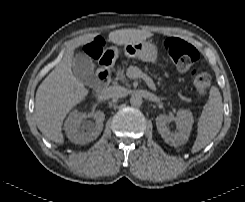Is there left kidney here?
<instances>
[{"mask_svg": "<svg viewBox=\"0 0 245 202\" xmlns=\"http://www.w3.org/2000/svg\"><path fill=\"white\" fill-rule=\"evenodd\" d=\"M176 123L178 132L172 133L169 130L168 124L170 118L167 115H159L156 118V126L159 134L164 141L171 146H181L185 144L189 138L194 123L192 113L186 109L178 110L176 114Z\"/></svg>", "mask_w": 245, "mask_h": 202, "instance_id": "left-kidney-1", "label": "left kidney"}]
</instances>
